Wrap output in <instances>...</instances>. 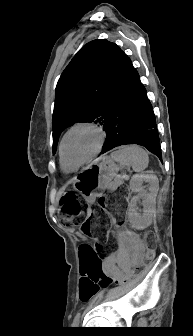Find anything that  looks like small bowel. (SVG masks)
<instances>
[{
  "label": "small bowel",
  "instance_id": "c3829d8e",
  "mask_svg": "<svg viewBox=\"0 0 193 336\" xmlns=\"http://www.w3.org/2000/svg\"><path fill=\"white\" fill-rule=\"evenodd\" d=\"M118 249L103 259L104 271L112 278H119L122 273L130 271L133 265L140 263L143 258V249L138 238L125 231L118 233ZM80 258V271L82 275V290L96 291L92 284L87 283V273L82 271Z\"/></svg>",
  "mask_w": 193,
  "mask_h": 336
}]
</instances>
